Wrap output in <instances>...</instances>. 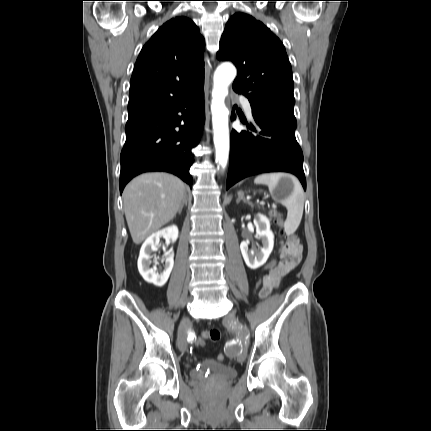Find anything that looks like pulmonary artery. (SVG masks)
Listing matches in <instances>:
<instances>
[{
	"instance_id": "obj_1",
	"label": "pulmonary artery",
	"mask_w": 431,
	"mask_h": 431,
	"mask_svg": "<svg viewBox=\"0 0 431 431\" xmlns=\"http://www.w3.org/2000/svg\"><path fill=\"white\" fill-rule=\"evenodd\" d=\"M240 102H241V104H242V106H243V108H244L245 112H246L249 116H251V114H252V107H251V104H250L249 100H248V99H246V98H244V97H241V98H240Z\"/></svg>"
}]
</instances>
